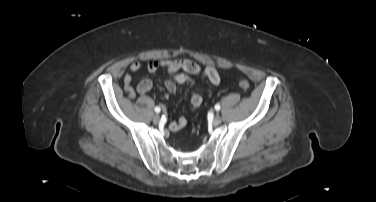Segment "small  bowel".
Masks as SVG:
<instances>
[{"label": "small bowel", "instance_id": "1", "mask_svg": "<svg viewBox=\"0 0 376 202\" xmlns=\"http://www.w3.org/2000/svg\"><path fill=\"white\" fill-rule=\"evenodd\" d=\"M144 67L151 73H155L160 69H166L170 78L165 81V88L170 94H174L177 90V85L184 83H192L191 75H201L207 79L213 86L219 85L221 78L217 70L212 66L201 67L197 63L189 59L177 60H150L146 63L141 61H134L129 69L131 73H136ZM152 88V82L149 79L142 80L136 87L132 83L131 74H126L123 78V89L129 96L134 99L139 94H144ZM212 95L210 91L209 96ZM203 101V97L199 93H195L191 97V107L193 110L197 109ZM187 120L181 117L177 121L170 124L172 131H178L185 127Z\"/></svg>", "mask_w": 376, "mask_h": 202}]
</instances>
